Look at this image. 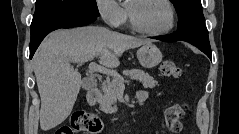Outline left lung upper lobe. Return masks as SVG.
Wrapping results in <instances>:
<instances>
[{
    "instance_id": "1",
    "label": "left lung upper lobe",
    "mask_w": 239,
    "mask_h": 134,
    "mask_svg": "<svg viewBox=\"0 0 239 134\" xmlns=\"http://www.w3.org/2000/svg\"><path fill=\"white\" fill-rule=\"evenodd\" d=\"M171 2L178 14L177 32L185 30L207 31L201 0H171Z\"/></svg>"
}]
</instances>
